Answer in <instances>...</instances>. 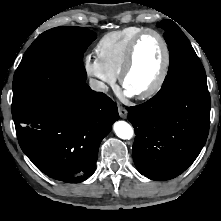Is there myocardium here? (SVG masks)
I'll list each match as a JSON object with an SVG mask.
<instances>
[{
	"label": "myocardium",
	"instance_id": "f54148a6",
	"mask_svg": "<svg viewBox=\"0 0 221 221\" xmlns=\"http://www.w3.org/2000/svg\"><path fill=\"white\" fill-rule=\"evenodd\" d=\"M149 34L156 36L159 39V41L161 42L163 52H164V57H163V63H162L159 75H158L157 79L155 80V82L147 90H145L141 93L135 94L140 99L150 98L160 91V89L162 88V86L166 80L169 66H170V49H169L166 39L157 30L144 29L132 39V41L130 42V44L128 46V49H127L126 55H125V59H124V63H123V66H122L120 74H119V80H120L121 85L125 88L126 78H127L128 74L134 64L137 46H138L139 42L141 41V39Z\"/></svg>",
	"mask_w": 221,
	"mask_h": 221
}]
</instances>
